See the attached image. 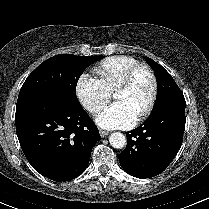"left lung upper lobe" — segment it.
Returning <instances> with one entry per match:
<instances>
[{"label":"left lung upper lobe","mask_w":209,"mask_h":209,"mask_svg":"<svg viewBox=\"0 0 209 209\" xmlns=\"http://www.w3.org/2000/svg\"><path fill=\"white\" fill-rule=\"evenodd\" d=\"M146 61L157 77L158 93L154 109L166 103L185 101L182 91L166 69L150 58H146Z\"/></svg>","instance_id":"1"}]
</instances>
